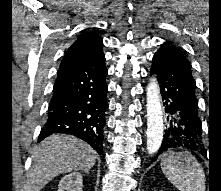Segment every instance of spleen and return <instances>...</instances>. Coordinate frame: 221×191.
<instances>
[{
  "instance_id": "3e777b00",
  "label": "spleen",
  "mask_w": 221,
  "mask_h": 191,
  "mask_svg": "<svg viewBox=\"0 0 221 191\" xmlns=\"http://www.w3.org/2000/svg\"><path fill=\"white\" fill-rule=\"evenodd\" d=\"M166 178L179 191H205V173L199 162L188 153L167 152L161 160Z\"/></svg>"
}]
</instances>
